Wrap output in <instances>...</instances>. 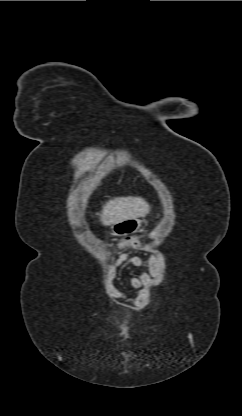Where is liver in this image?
I'll return each instance as SVG.
<instances>
[{"instance_id": "obj_1", "label": "liver", "mask_w": 242, "mask_h": 416, "mask_svg": "<svg viewBox=\"0 0 242 416\" xmlns=\"http://www.w3.org/2000/svg\"><path fill=\"white\" fill-rule=\"evenodd\" d=\"M150 212V206L141 197H116L103 206L100 221L103 225H113L127 219H137Z\"/></svg>"}]
</instances>
